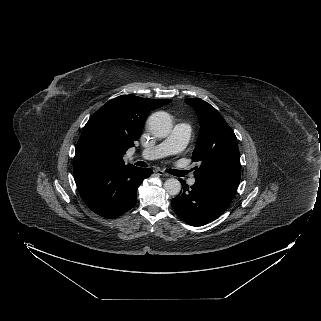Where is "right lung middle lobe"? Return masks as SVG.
<instances>
[{
  "instance_id": "1",
  "label": "right lung middle lobe",
  "mask_w": 321,
  "mask_h": 321,
  "mask_svg": "<svg viewBox=\"0 0 321 321\" xmlns=\"http://www.w3.org/2000/svg\"><path fill=\"white\" fill-rule=\"evenodd\" d=\"M114 149L110 143L97 134L80 137L74 157V173H87L111 166Z\"/></svg>"
}]
</instances>
